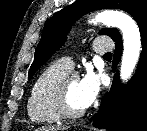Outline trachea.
Returning <instances> with one entry per match:
<instances>
[{"instance_id": "obj_1", "label": "trachea", "mask_w": 147, "mask_h": 131, "mask_svg": "<svg viewBox=\"0 0 147 131\" xmlns=\"http://www.w3.org/2000/svg\"><path fill=\"white\" fill-rule=\"evenodd\" d=\"M104 57H112V53L108 52L104 54Z\"/></svg>"}]
</instances>
